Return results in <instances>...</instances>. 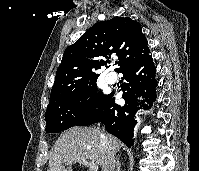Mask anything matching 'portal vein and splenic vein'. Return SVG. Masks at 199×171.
Returning a JSON list of instances; mask_svg holds the SVG:
<instances>
[{
  "label": "portal vein and splenic vein",
  "instance_id": "18ae733b",
  "mask_svg": "<svg viewBox=\"0 0 199 171\" xmlns=\"http://www.w3.org/2000/svg\"><path fill=\"white\" fill-rule=\"evenodd\" d=\"M79 162L85 166H88L90 171H98V165L93 162H88L85 159L79 160Z\"/></svg>",
  "mask_w": 199,
  "mask_h": 171
}]
</instances>
